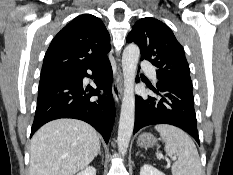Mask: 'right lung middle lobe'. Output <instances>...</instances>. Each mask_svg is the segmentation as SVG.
I'll return each instance as SVG.
<instances>
[{"mask_svg": "<svg viewBox=\"0 0 233 175\" xmlns=\"http://www.w3.org/2000/svg\"><path fill=\"white\" fill-rule=\"evenodd\" d=\"M48 80H50V79H40V83H43V82L48 81Z\"/></svg>", "mask_w": 233, "mask_h": 175, "instance_id": "dd1d6c3e", "label": "right lung middle lobe"}]
</instances>
